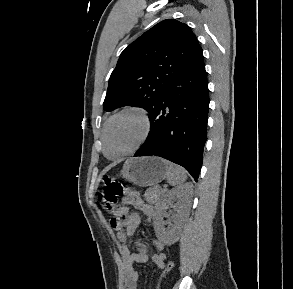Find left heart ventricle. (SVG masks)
<instances>
[{"label":"left heart ventricle","instance_id":"obj_1","mask_svg":"<svg viewBox=\"0 0 293 289\" xmlns=\"http://www.w3.org/2000/svg\"><path fill=\"white\" fill-rule=\"evenodd\" d=\"M142 131L140 118L135 114H125L116 118L107 131V153L110 156H119L138 141Z\"/></svg>","mask_w":293,"mask_h":289}]
</instances>
